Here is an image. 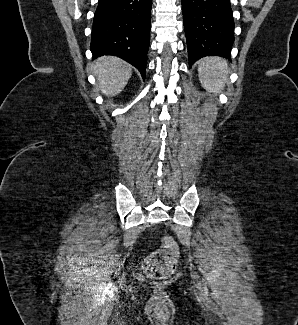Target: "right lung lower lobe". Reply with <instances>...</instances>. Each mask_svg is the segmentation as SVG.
<instances>
[{
	"label": "right lung lower lobe",
	"mask_w": 298,
	"mask_h": 325,
	"mask_svg": "<svg viewBox=\"0 0 298 325\" xmlns=\"http://www.w3.org/2000/svg\"><path fill=\"white\" fill-rule=\"evenodd\" d=\"M152 0H99L90 49L93 57L114 55L145 78Z\"/></svg>",
	"instance_id": "98d812e1"
}]
</instances>
